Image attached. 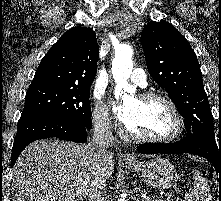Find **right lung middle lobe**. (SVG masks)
<instances>
[{
	"mask_svg": "<svg viewBox=\"0 0 221 201\" xmlns=\"http://www.w3.org/2000/svg\"><path fill=\"white\" fill-rule=\"evenodd\" d=\"M89 97L90 89L29 88L21 117L34 114L50 115L70 118L92 126Z\"/></svg>",
	"mask_w": 221,
	"mask_h": 201,
	"instance_id": "obj_1",
	"label": "right lung middle lobe"
}]
</instances>
